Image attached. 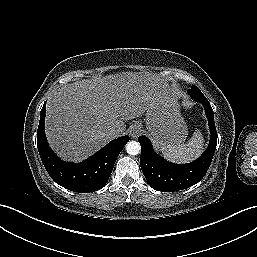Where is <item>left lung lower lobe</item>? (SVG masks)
Listing matches in <instances>:
<instances>
[{"label": "left lung lower lobe", "mask_w": 257, "mask_h": 257, "mask_svg": "<svg viewBox=\"0 0 257 257\" xmlns=\"http://www.w3.org/2000/svg\"><path fill=\"white\" fill-rule=\"evenodd\" d=\"M194 100L204 106L211 132L209 146L197 160L188 164L170 163L154 153L151 142L145 136L138 138L141 144L142 172L149 185L157 191L173 192L186 189L198 183L211 164L217 145L214 113L205 96L195 97Z\"/></svg>", "instance_id": "obj_1"}]
</instances>
